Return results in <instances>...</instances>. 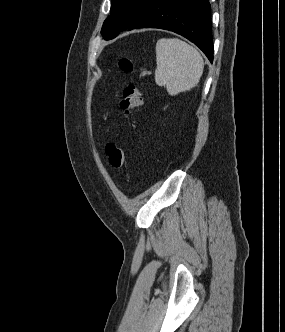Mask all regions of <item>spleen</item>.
<instances>
[{
    "mask_svg": "<svg viewBox=\"0 0 285 332\" xmlns=\"http://www.w3.org/2000/svg\"><path fill=\"white\" fill-rule=\"evenodd\" d=\"M156 63L155 82L158 86H166L170 95L194 88L204 69L199 51L178 38L157 41Z\"/></svg>",
    "mask_w": 285,
    "mask_h": 332,
    "instance_id": "3e777b00",
    "label": "spleen"
}]
</instances>
